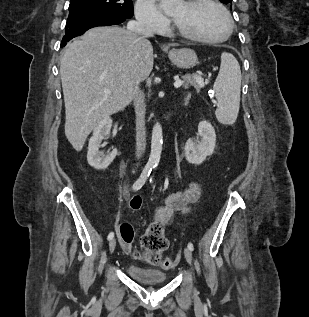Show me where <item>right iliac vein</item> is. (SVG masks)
<instances>
[{
    "instance_id": "63e3f726",
    "label": "right iliac vein",
    "mask_w": 309,
    "mask_h": 317,
    "mask_svg": "<svg viewBox=\"0 0 309 317\" xmlns=\"http://www.w3.org/2000/svg\"><path fill=\"white\" fill-rule=\"evenodd\" d=\"M115 247H116V240L113 238L109 242V251H110V253H113V251L115 250Z\"/></svg>"
}]
</instances>
